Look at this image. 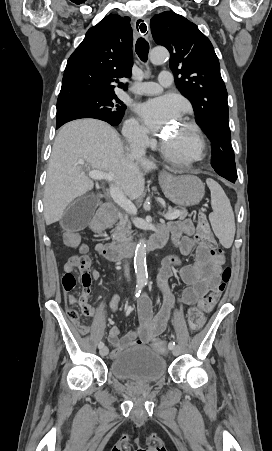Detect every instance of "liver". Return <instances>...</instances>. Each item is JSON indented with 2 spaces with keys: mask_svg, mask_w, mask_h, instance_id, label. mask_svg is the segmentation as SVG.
I'll return each mask as SVG.
<instances>
[{
  "mask_svg": "<svg viewBox=\"0 0 272 451\" xmlns=\"http://www.w3.org/2000/svg\"><path fill=\"white\" fill-rule=\"evenodd\" d=\"M78 160L96 170L113 172L115 188L130 200L142 196L145 174L157 168L147 158L124 152L118 132L106 122L75 120L65 124L54 140L47 170L43 196L47 226L61 220L75 198L94 188Z\"/></svg>",
  "mask_w": 272,
  "mask_h": 451,
  "instance_id": "1",
  "label": "liver"
}]
</instances>
